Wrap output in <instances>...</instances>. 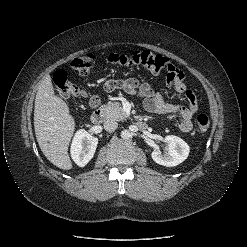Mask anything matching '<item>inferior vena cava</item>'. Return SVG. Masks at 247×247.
I'll use <instances>...</instances> for the list:
<instances>
[{
  "label": "inferior vena cava",
  "instance_id": "obj_1",
  "mask_svg": "<svg viewBox=\"0 0 247 247\" xmlns=\"http://www.w3.org/2000/svg\"><path fill=\"white\" fill-rule=\"evenodd\" d=\"M118 123L114 119H107L104 121V129L108 132H113L117 129Z\"/></svg>",
  "mask_w": 247,
  "mask_h": 247
}]
</instances>
